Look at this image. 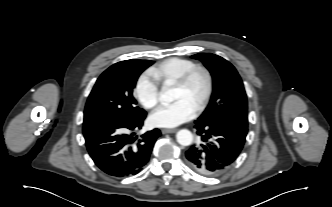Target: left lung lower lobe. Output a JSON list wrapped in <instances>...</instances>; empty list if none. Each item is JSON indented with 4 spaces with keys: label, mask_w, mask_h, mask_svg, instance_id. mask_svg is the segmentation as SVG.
<instances>
[{
    "label": "left lung lower lobe",
    "mask_w": 332,
    "mask_h": 207,
    "mask_svg": "<svg viewBox=\"0 0 332 207\" xmlns=\"http://www.w3.org/2000/svg\"><path fill=\"white\" fill-rule=\"evenodd\" d=\"M201 142L186 152L189 166L205 176L226 171L239 156L248 132L247 116L232 115L211 122L196 121Z\"/></svg>",
    "instance_id": "obj_1"
}]
</instances>
